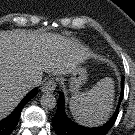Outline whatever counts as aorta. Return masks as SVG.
Segmentation results:
<instances>
[{
	"label": "aorta",
	"instance_id": "1",
	"mask_svg": "<svg viewBox=\"0 0 135 135\" xmlns=\"http://www.w3.org/2000/svg\"><path fill=\"white\" fill-rule=\"evenodd\" d=\"M40 104L44 109H54L56 107L57 101L53 94L46 93L42 95L40 99Z\"/></svg>",
	"mask_w": 135,
	"mask_h": 135
}]
</instances>
